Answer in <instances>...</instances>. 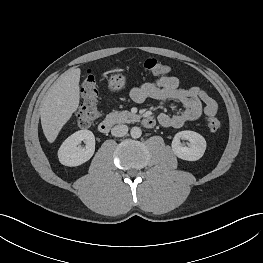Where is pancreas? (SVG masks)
Returning a JSON list of instances; mask_svg holds the SVG:
<instances>
[{"label": "pancreas", "mask_w": 263, "mask_h": 263, "mask_svg": "<svg viewBox=\"0 0 263 263\" xmlns=\"http://www.w3.org/2000/svg\"><path fill=\"white\" fill-rule=\"evenodd\" d=\"M107 119L114 123H130L137 121L139 117L129 111H113L107 115Z\"/></svg>", "instance_id": "cf45deb5"}]
</instances>
